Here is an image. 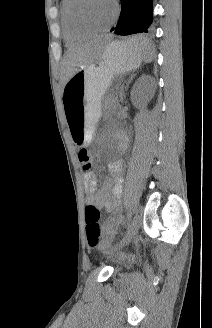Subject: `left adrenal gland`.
Here are the masks:
<instances>
[{
  "label": "left adrenal gland",
  "mask_w": 212,
  "mask_h": 328,
  "mask_svg": "<svg viewBox=\"0 0 212 328\" xmlns=\"http://www.w3.org/2000/svg\"><path fill=\"white\" fill-rule=\"evenodd\" d=\"M135 76V74H132L131 76H130V78H129V80H128V82H127V84H126V89L128 88V86H129V84H130V82H131V80L133 79V77ZM123 96H124V98H125V95L123 94Z\"/></svg>",
  "instance_id": "1"
}]
</instances>
